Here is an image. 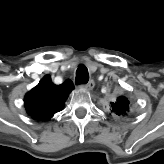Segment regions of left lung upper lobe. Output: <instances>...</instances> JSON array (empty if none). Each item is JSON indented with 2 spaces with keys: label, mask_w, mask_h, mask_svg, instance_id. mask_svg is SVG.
Returning a JSON list of instances; mask_svg holds the SVG:
<instances>
[{
  "label": "left lung upper lobe",
  "mask_w": 164,
  "mask_h": 164,
  "mask_svg": "<svg viewBox=\"0 0 164 164\" xmlns=\"http://www.w3.org/2000/svg\"><path fill=\"white\" fill-rule=\"evenodd\" d=\"M112 112L117 115H125L129 109V101L124 96L119 97L115 102H111Z\"/></svg>",
  "instance_id": "1"
}]
</instances>
